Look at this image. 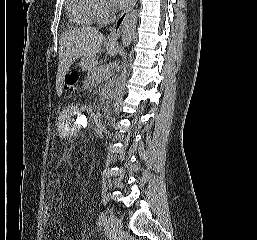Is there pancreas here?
Here are the masks:
<instances>
[{
  "mask_svg": "<svg viewBox=\"0 0 257 240\" xmlns=\"http://www.w3.org/2000/svg\"><path fill=\"white\" fill-rule=\"evenodd\" d=\"M109 75L110 72L106 66L101 65L99 67H93L88 71L84 85L85 87H95L100 84L102 80L108 78Z\"/></svg>",
  "mask_w": 257,
  "mask_h": 240,
  "instance_id": "obj_1",
  "label": "pancreas"
}]
</instances>
